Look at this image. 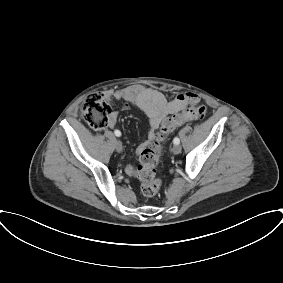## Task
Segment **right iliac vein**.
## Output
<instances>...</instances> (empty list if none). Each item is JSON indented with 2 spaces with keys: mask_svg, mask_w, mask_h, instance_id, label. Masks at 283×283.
Segmentation results:
<instances>
[{
  "mask_svg": "<svg viewBox=\"0 0 283 283\" xmlns=\"http://www.w3.org/2000/svg\"><path fill=\"white\" fill-rule=\"evenodd\" d=\"M115 148H116L117 152H121L123 150V146H122L121 141L117 140L115 142Z\"/></svg>",
  "mask_w": 283,
  "mask_h": 283,
  "instance_id": "right-iliac-vein-1",
  "label": "right iliac vein"
}]
</instances>
